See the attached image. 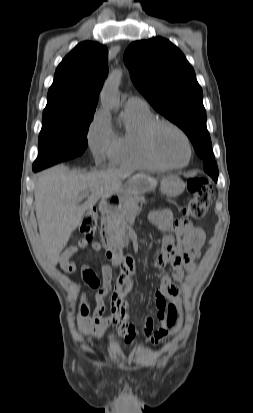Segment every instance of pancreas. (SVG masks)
<instances>
[{
	"label": "pancreas",
	"mask_w": 253,
	"mask_h": 413,
	"mask_svg": "<svg viewBox=\"0 0 253 413\" xmlns=\"http://www.w3.org/2000/svg\"><path fill=\"white\" fill-rule=\"evenodd\" d=\"M145 198L140 195H135L127 198L124 204L115 212L106 214L105 222L112 227L117 244L125 247L129 243L127 234L128 220L131 212L138 208V204L143 202Z\"/></svg>",
	"instance_id": "cf45deb5"
}]
</instances>
